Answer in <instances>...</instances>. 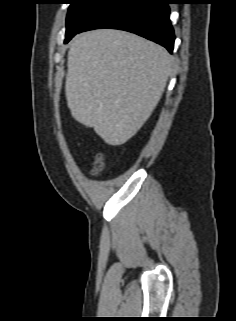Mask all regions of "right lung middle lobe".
Wrapping results in <instances>:
<instances>
[{"mask_svg":"<svg viewBox=\"0 0 236 321\" xmlns=\"http://www.w3.org/2000/svg\"><path fill=\"white\" fill-rule=\"evenodd\" d=\"M70 7L66 19L65 43L85 24L108 0H69Z\"/></svg>","mask_w":236,"mask_h":321,"instance_id":"1","label":"right lung middle lobe"}]
</instances>
